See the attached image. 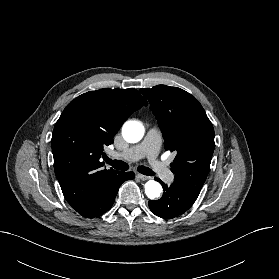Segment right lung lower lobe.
<instances>
[{"label": "right lung lower lobe", "mask_w": 279, "mask_h": 279, "mask_svg": "<svg viewBox=\"0 0 279 279\" xmlns=\"http://www.w3.org/2000/svg\"><path fill=\"white\" fill-rule=\"evenodd\" d=\"M134 176L132 172L118 171L110 175L102 182L92 202L87 207L76 211L86 218L101 216L112 207L120 185L126 180L133 179Z\"/></svg>", "instance_id": "obj_1"}]
</instances>
